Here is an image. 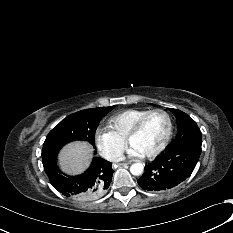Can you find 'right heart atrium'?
I'll list each match as a JSON object with an SVG mask.
<instances>
[{
    "label": "right heart atrium",
    "mask_w": 233,
    "mask_h": 233,
    "mask_svg": "<svg viewBox=\"0 0 233 233\" xmlns=\"http://www.w3.org/2000/svg\"><path fill=\"white\" fill-rule=\"evenodd\" d=\"M94 140L99 153L113 162L121 158L126 146V142L118 138L110 130L97 131Z\"/></svg>",
    "instance_id": "d8ad5b80"
}]
</instances>
